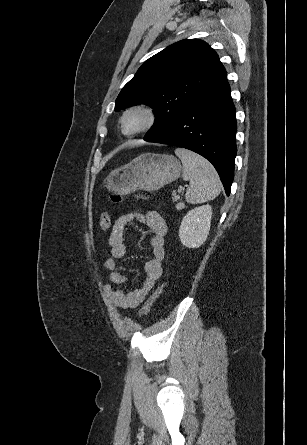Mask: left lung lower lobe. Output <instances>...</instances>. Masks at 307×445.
<instances>
[{
    "instance_id": "obj_1",
    "label": "left lung lower lobe",
    "mask_w": 307,
    "mask_h": 445,
    "mask_svg": "<svg viewBox=\"0 0 307 445\" xmlns=\"http://www.w3.org/2000/svg\"><path fill=\"white\" fill-rule=\"evenodd\" d=\"M236 114L225 79L193 103L164 130L145 139L192 150L216 168L229 196L236 156Z\"/></svg>"
}]
</instances>
